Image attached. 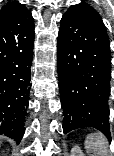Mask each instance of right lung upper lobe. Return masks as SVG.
I'll return each instance as SVG.
<instances>
[{
  "label": "right lung upper lobe",
  "instance_id": "obj_1",
  "mask_svg": "<svg viewBox=\"0 0 114 156\" xmlns=\"http://www.w3.org/2000/svg\"><path fill=\"white\" fill-rule=\"evenodd\" d=\"M25 9V6L18 2H8L0 10V20Z\"/></svg>",
  "mask_w": 114,
  "mask_h": 156
}]
</instances>
